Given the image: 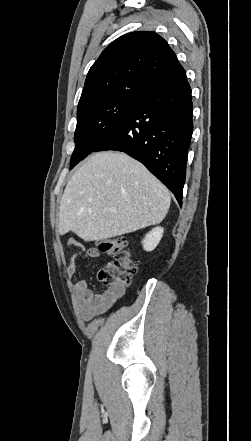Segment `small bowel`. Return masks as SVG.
Segmentation results:
<instances>
[{
  "mask_svg": "<svg viewBox=\"0 0 251 441\" xmlns=\"http://www.w3.org/2000/svg\"><path fill=\"white\" fill-rule=\"evenodd\" d=\"M69 245L79 249V252L72 257L71 262L66 268L67 274L73 276L76 273L77 260L79 258L83 256L96 257L98 252L96 249H90L84 254L83 245L76 240H71ZM74 291L81 316L84 319H90L97 314L106 312L123 294V291H116L111 287L104 289L100 293H96L89 287L88 282L84 279L74 283Z\"/></svg>",
  "mask_w": 251,
  "mask_h": 441,
  "instance_id": "small-bowel-1",
  "label": "small bowel"
}]
</instances>
